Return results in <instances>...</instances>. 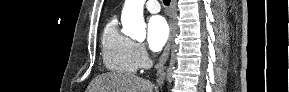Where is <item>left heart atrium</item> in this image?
<instances>
[{"mask_svg": "<svg viewBox=\"0 0 289 92\" xmlns=\"http://www.w3.org/2000/svg\"><path fill=\"white\" fill-rule=\"evenodd\" d=\"M169 37V26L162 16H153L147 24V43L156 52L166 43Z\"/></svg>", "mask_w": 289, "mask_h": 92, "instance_id": "obj_1", "label": "left heart atrium"}]
</instances>
